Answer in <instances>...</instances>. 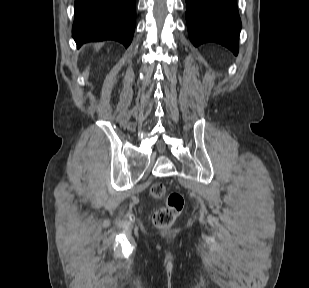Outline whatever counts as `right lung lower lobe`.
Here are the masks:
<instances>
[{
    "label": "right lung lower lobe",
    "mask_w": 309,
    "mask_h": 288,
    "mask_svg": "<svg viewBox=\"0 0 309 288\" xmlns=\"http://www.w3.org/2000/svg\"><path fill=\"white\" fill-rule=\"evenodd\" d=\"M135 7V0H75L72 35L77 46L116 40L128 47L135 30Z\"/></svg>",
    "instance_id": "obj_1"
}]
</instances>
